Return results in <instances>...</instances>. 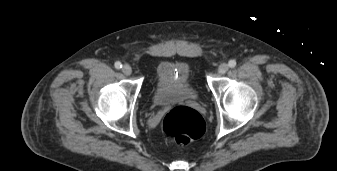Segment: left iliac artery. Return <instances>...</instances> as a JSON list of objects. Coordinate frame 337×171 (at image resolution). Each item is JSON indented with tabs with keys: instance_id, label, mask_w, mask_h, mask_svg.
Instances as JSON below:
<instances>
[{
	"instance_id": "1",
	"label": "left iliac artery",
	"mask_w": 337,
	"mask_h": 171,
	"mask_svg": "<svg viewBox=\"0 0 337 171\" xmlns=\"http://www.w3.org/2000/svg\"><path fill=\"white\" fill-rule=\"evenodd\" d=\"M236 61L235 60H230L229 62H228V65H229V67L230 68H234L235 66H236Z\"/></svg>"
}]
</instances>
